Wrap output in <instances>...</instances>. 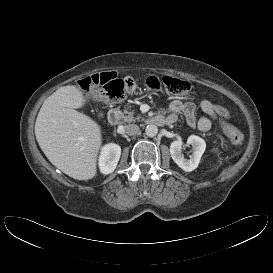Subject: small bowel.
Segmentation results:
<instances>
[{"instance_id": "obj_1", "label": "small bowel", "mask_w": 273, "mask_h": 273, "mask_svg": "<svg viewBox=\"0 0 273 273\" xmlns=\"http://www.w3.org/2000/svg\"><path fill=\"white\" fill-rule=\"evenodd\" d=\"M199 107L207 116L197 119V108L193 102L175 99L168 105L166 118L170 121V124H173L178 120L180 115H183L189 126L197 127L200 131L206 132L211 129L212 121L219 118L228 119L230 116L224 107L216 105L207 99L201 100Z\"/></svg>"}]
</instances>
